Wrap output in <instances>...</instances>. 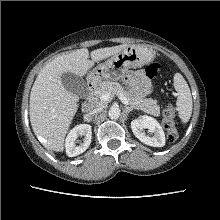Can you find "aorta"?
<instances>
[{
  "instance_id": "1",
  "label": "aorta",
  "mask_w": 220,
  "mask_h": 220,
  "mask_svg": "<svg viewBox=\"0 0 220 220\" xmlns=\"http://www.w3.org/2000/svg\"><path fill=\"white\" fill-rule=\"evenodd\" d=\"M121 110L117 106H112L108 112L111 119H118L120 117Z\"/></svg>"
}]
</instances>
